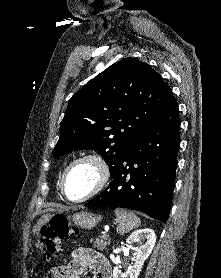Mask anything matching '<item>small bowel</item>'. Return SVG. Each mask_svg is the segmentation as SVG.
Here are the masks:
<instances>
[{"label":"small bowel","mask_w":221,"mask_h":278,"mask_svg":"<svg viewBox=\"0 0 221 278\" xmlns=\"http://www.w3.org/2000/svg\"><path fill=\"white\" fill-rule=\"evenodd\" d=\"M86 271L91 278H111V266L104 256L86 248L74 250L65 267L66 278H82Z\"/></svg>","instance_id":"small-bowel-1"}]
</instances>
